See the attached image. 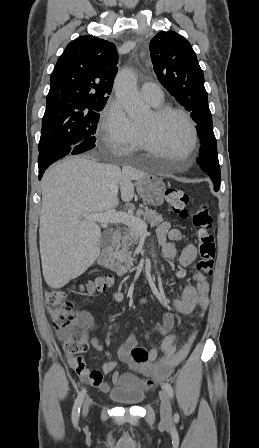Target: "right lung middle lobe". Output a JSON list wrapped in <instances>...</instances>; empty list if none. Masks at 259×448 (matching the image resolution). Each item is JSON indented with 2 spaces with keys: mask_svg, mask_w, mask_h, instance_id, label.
<instances>
[{
  "mask_svg": "<svg viewBox=\"0 0 259 448\" xmlns=\"http://www.w3.org/2000/svg\"><path fill=\"white\" fill-rule=\"evenodd\" d=\"M104 106L67 114L45 113L38 150L71 147L72 154L76 155L94 148L99 111Z\"/></svg>",
  "mask_w": 259,
  "mask_h": 448,
  "instance_id": "obj_1",
  "label": "right lung middle lobe"
}]
</instances>
